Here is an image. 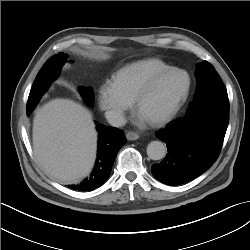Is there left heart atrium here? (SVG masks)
Instances as JSON below:
<instances>
[{
  "instance_id": "left-heart-atrium-1",
  "label": "left heart atrium",
  "mask_w": 250,
  "mask_h": 250,
  "mask_svg": "<svg viewBox=\"0 0 250 250\" xmlns=\"http://www.w3.org/2000/svg\"><path fill=\"white\" fill-rule=\"evenodd\" d=\"M138 121H139L140 123H143V122L146 121V119H145L143 116H141V115L139 114Z\"/></svg>"
}]
</instances>
